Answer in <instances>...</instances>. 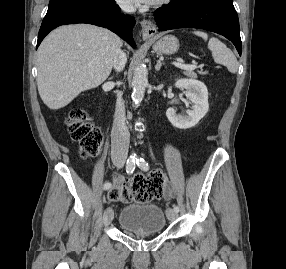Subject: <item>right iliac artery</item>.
I'll use <instances>...</instances> for the list:
<instances>
[{"mask_svg": "<svg viewBox=\"0 0 286 269\" xmlns=\"http://www.w3.org/2000/svg\"><path fill=\"white\" fill-rule=\"evenodd\" d=\"M134 169H135V159H134V157L133 158H129L127 160V163H126V172L128 174H131V173H133ZM110 187H111V183L110 182H106L104 184L103 188L106 190V189H109Z\"/></svg>", "mask_w": 286, "mask_h": 269, "instance_id": "82829eb1", "label": "right iliac artery"}]
</instances>
